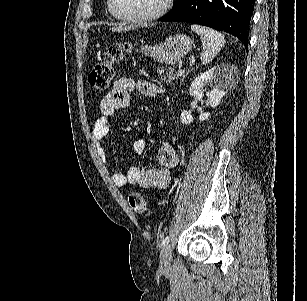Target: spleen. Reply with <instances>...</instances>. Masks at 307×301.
Listing matches in <instances>:
<instances>
[{"label": "spleen", "mask_w": 307, "mask_h": 301, "mask_svg": "<svg viewBox=\"0 0 307 301\" xmlns=\"http://www.w3.org/2000/svg\"><path fill=\"white\" fill-rule=\"evenodd\" d=\"M191 30L199 34L204 46L201 52V62L208 64L220 52L222 46H225L226 38L222 32L208 28V26H201V24H191Z\"/></svg>", "instance_id": "obj_1"}]
</instances>
